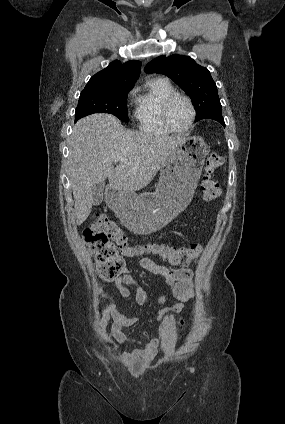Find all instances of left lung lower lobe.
<instances>
[{"label": "left lung lower lobe", "mask_w": 285, "mask_h": 424, "mask_svg": "<svg viewBox=\"0 0 285 424\" xmlns=\"http://www.w3.org/2000/svg\"><path fill=\"white\" fill-rule=\"evenodd\" d=\"M205 119H212V120L218 121L225 127V122H224V119L222 117L221 112L212 113V114L208 115Z\"/></svg>", "instance_id": "left-lung-lower-lobe-1"}]
</instances>
